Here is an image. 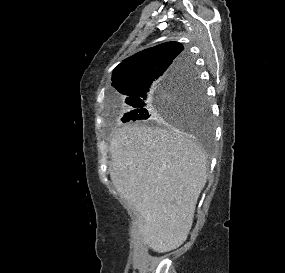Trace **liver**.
I'll return each instance as SVG.
<instances>
[{"label":"liver","instance_id":"1","mask_svg":"<svg viewBox=\"0 0 285 273\" xmlns=\"http://www.w3.org/2000/svg\"><path fill=\"white\" fill-rule=\"evenodd\" d=\"M110 178L144 219L140 231L155 252L177 249L188 237L207 181V155L175 129L125 125L110 139Z\"/></svg>","mask_w":285,"mask_h":273}]
</instances>
